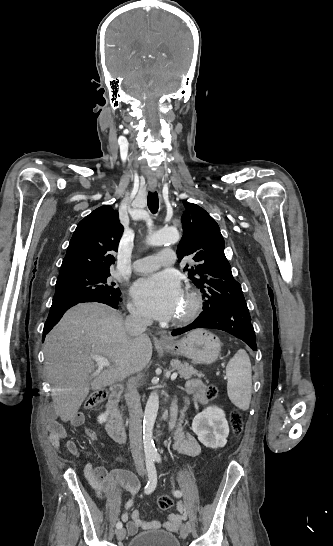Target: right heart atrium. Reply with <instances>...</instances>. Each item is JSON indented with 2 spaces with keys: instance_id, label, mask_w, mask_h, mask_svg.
I'll use <instances>...</instances> for the list:
<instances>
[{
  "instance_id": "1",
  "label": "right heart atrium",
  "mask_w": 333,
  "mask_h": 546,
  "mask_svg": "<svg viewBox=\"0 0 333 546\" xmlns=\"http://www.w3.org/2000/svg\"><path fill=\"white\" fill-rule=\"evenodd\" d=\"M129 310L134 318L145 320V315L134 303L129 304Z\"/></svg>"
}]
</instances>
